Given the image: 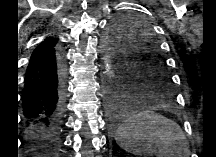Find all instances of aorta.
Returning a JSON list of instances; mask_svg holds the SVG:
<instances>
[{"label":"aorta","instance_id":"obj_1","mask_svg":"<svg viewBox=\"0 0 216 157\" xmlns=\"http://www.w3.org/2000/svg\"><path fill=\"white\" fill-rule=\"evenodd\" d=\"M107 57V56H106ZM105 67H106V72L109 73L110 72V64H109V60L108 58L105 59Z\"/></svg>","mask_w":216,"mask_h":157}]
</instances>
